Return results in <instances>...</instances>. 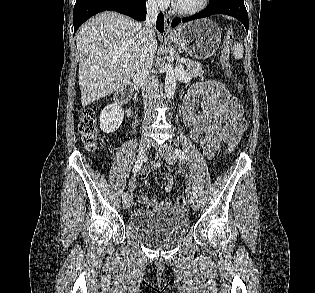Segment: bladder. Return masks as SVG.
<instances>
[{"label": "bladder", "mask_w": 315, "mask_h": 293, "mask_svg": "<svg viewBox=\"0 0 315 293\" xmlns=\"http://www.w3.org/2000/svg\"><path fill=\"white\" fill-rule=\"evenodd\" d=\"M132 234L153 247H168L182 240L190 229L189 219L169 208L132 216L128 221Z\"/></svg>", "instance_id": "bladder-1"}]
</instances>
